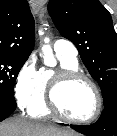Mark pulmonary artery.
<instances>
[{
	"mask_svg": "<svg viewBox=\"0 0 117 136\" xmlns=\"http://www.w3.org/2000/svg\"><path fill=\"white\" fill-rule=\"evenodd\" d=\"M54 51L57 55L65 57L70 60H77L78 51L76 46L69 40L58 39L54 43Z\"/></svg>",
	"mask_w": 117,
	"mask_h": 136,
	"instance_id": "e3ab8cb5",
	"label": "pulmonary artery"
}]
</instances>
